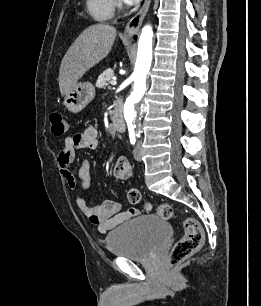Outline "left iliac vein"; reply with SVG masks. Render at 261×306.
<instances>
[{"label":"left iliac vein","instance_id":"left-iliac-vein-1","mask_svg":"<svg viewBox=\"0 0 261 306\" xmlns=\"http://www.w3.org/2000/svg\"><path fill=\"white\" fill-rule=\"evenodd\" d=\"M133 154H134L135 160L141 161V158H142V142L140 140L137 141V144L134 148Z\"/></svg>","mask_w":261,"mask_h":306}]
</instances>
